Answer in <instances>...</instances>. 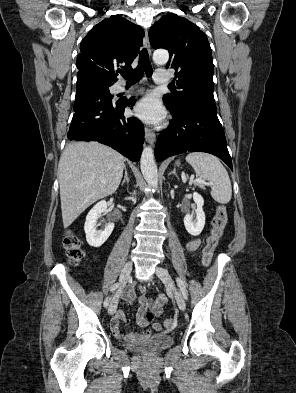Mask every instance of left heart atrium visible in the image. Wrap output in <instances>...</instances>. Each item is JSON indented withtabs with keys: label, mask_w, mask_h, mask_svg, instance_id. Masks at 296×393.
Returning a JSON list of instances; mask_svg holds the SVG:
<instances>
[{
	"label": "left heart atrium",
	"mask_w": 296,
	"mask_h": 393,
	"mask_svg": "<svg viewBox=\"0 0 296 393\" xmlns=\"http://www.w3.org/2000/svg\"><path fill=\"white\" fill-rule=\"evenodd\" d=\"M133 113L147 123H158L164 117L162 105L153 94H148L139 100L133 108Z\"/></svg>",
	"instance_id": "39dd6f15"
}]
</instances>
